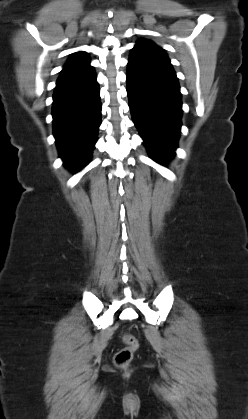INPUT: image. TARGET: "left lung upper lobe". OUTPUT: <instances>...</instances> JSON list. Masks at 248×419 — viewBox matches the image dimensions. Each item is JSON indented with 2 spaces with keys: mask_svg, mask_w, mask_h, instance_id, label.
Here are the masks:
<instances>
[{
  "mask_svg": "<svg viewBox=\"0 0 248 419\" xmlns=\"http://www.w3.org/2000/svg\"><path fill=\"white\" fill-rule=\"evenodd\" d=\"M134 48H139L145 52H149V53H153L161 58L164 59H168L166 53L164 52V50L160 47H158L155 43H153L152 41L149 40H145V39H140L138 40L137 44L135 45Z\"/></svg>",
  "mask_w": 248,
  "mask_h": 419,
  "instance_id": "left-lung-upper-lobe-1",
  "label": "left lung upper lobe"
}]
</instances>
